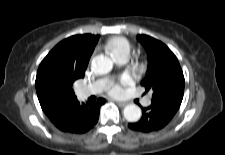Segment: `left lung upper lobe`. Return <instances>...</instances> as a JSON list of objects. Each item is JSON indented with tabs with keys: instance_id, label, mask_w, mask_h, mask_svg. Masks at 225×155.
<instances>
[{
	"instance_id": "5c2ea615",
	"label": "left lung upper lobe",
	"mask_w": 225,
	"mask_h": 155,
	"mask_svg": "<svg viewBox=\"0 0 225 155\" xmlns=\"http://www.w3.org/2000/svg\"><path fill=\"white\" fill-rule=\"evenodd\" d=\"M137 39L147 51V75L141 85L153 92L152 102H163L180 107L185 80L180 64L173 52L161 41L147 35Z\"/></svg>"
}]
</instances>
